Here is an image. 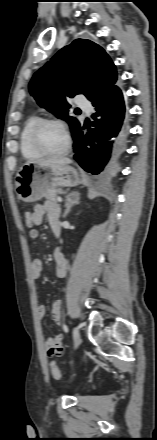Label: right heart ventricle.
Masks as SVG:
<instances>
[{
	"mask_svg": "<svg viewBox=\"0 0 157 440\" xmlns=\"http://www.w3.org/2000/svg\"><path fill=\"white\" fill-rule=\"evenodd\" d=\"M40 119L39 116L33 115L27 119L24 124V127L20 134V149L22 155L26 159H37L42 156L39 152H37L32 145L30 144V131L34 124Z\"/></svg>",
	"mask_w": 157,
	"mask_h": 440,
	"instance_id": "e07e8e85",
	"label": "right heart ventricle"
}]
</instances>
